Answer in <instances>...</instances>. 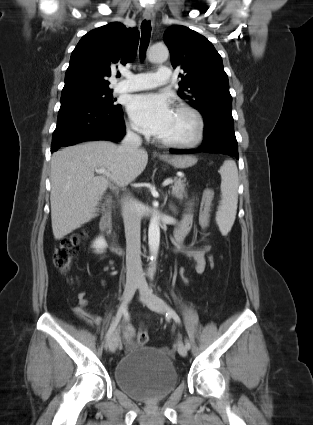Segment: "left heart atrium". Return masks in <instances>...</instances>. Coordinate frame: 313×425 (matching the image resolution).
Here are the masks:
<instances>
[{"mask_svg": "<svg viewBox=\"0 0 313 425\" xmlns=\"http://www.w3.org/2000/svg\"><path fill=\"white\" fill-rule=\"evenodd\" d=\"M168 98L161 94H140L128 103V113L135 127L142 133L161 136L168 128L173 116Z\"/></svg>", "mask_w": 313, "mask_h": 425, "instance_id": "left-heart-atrium-1", "label": "left heart atrium"}]
</instances>
